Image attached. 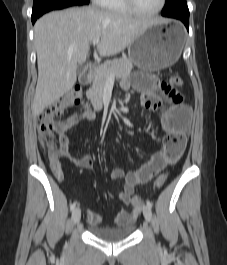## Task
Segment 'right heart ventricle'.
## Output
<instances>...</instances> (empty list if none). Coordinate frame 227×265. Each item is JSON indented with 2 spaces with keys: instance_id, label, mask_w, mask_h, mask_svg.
<instances>
[{
  "instance_id": "e07e8e85",
  "label": "right heart ventricle",
  "mask_w": 227,
  "mask_h": 265,
  "mask_svg": "<svg viewBox=\"0 0 227 265\" xmlns=\"http://www.w3.org/2000/svg\"><path fill=\"white\" fill-rule=\"evenodd\" d=\"M103 8L108 11L122 14L133 13L126 5L125 0H101L99 3Z\"/></svg>"
}]
</instances>
